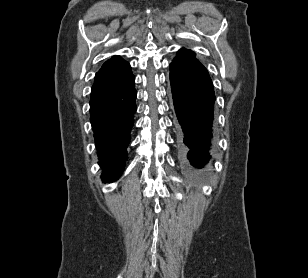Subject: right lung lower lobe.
I'll use <instances>...</instances> for the list:
<instances>
[{
  "label": "right lung lower lobe",
  "instance_id": "right-lung-lower-lobe-1",
  "mask_svg": "<svg viewBox=\"0 0 308 278\" xmlns=\"http://www.w3.org/2000/svg\"><path fill=\"white\" fill-rule=\"evenodd\" d=\"M135 77L131 73L114 85L92 87L90 121L98 150L103 182H113L122 173L127 160L133 115L136 111Z\"/></svg>",
  "mask_w": 308,
  "mask_h": 278
}]
</instances>
